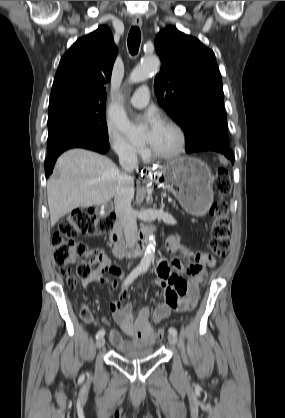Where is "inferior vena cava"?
Returning <instances> with one entry per match:
<instances>
[{
    "mask_svg": "<svg viewBox=\"0 0 285 418\" xmlns=\"http://www.w3.org/2000/svg\"><path fill=\"white\" fill-rule=\"evenodd\" d=\"M116 151L123 172L117 176V189L114 197L115 213L123 226L126 245L131 249L137 241L138 230L136 215L131 207L134 181L129 173L138 168V159L136 150L130 146L121 145L116 148Z\"/></svg>",
    "mask_w": 285,
    "mask_h": 418,
    "instance_id": "1",
    "label": "inferior vena cava"
}]
</instances>
